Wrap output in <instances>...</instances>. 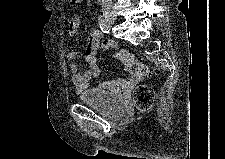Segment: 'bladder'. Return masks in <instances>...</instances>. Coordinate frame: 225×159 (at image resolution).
I'll return each mask as SVG.
<instances>
[{
  "mask_svg": "<svg viewBox=\"0 0 225 159\" xmlns=\"http://www.w3.org/2000/svg\"><path fill=\"white\" fill-rule=\"evenodd\" d=\"M80 103L88 105L100 113L116 118L124 113L125 106L121 97L98 86L86 88L78 93Z\"/></svg>",
  "mask_w": 225,
  "mask_h": 159,
  "instance_id": "1",
  "label": "bladder"
}]
</instances>
